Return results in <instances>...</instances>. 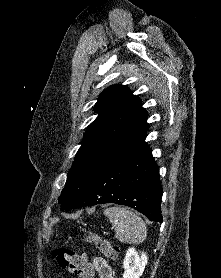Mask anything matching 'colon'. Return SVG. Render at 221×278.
Returning a JSON list of instances; mask_svg holds the SVG:
<instances>
[{
    "label": "colon",
    "instance_id": "obj_1",
    "mask_svg": "<svg viewBox=\"0 0 221 278\" xmlns=\"http://www.w3.org/2000/svg\"><path fill=\"white\" fill-rule=\"evenodd\" d=\"M83 239L86 243L99 249L107 257L116 259L118 256V247L110 242L103 240L98 234L93 232H85ZM53 257L57 264L72 274H76L81 278H92L90 268L85 261L83 255L73 249L67 247H57L53 252Z\"/></svg>",
    "mask_w": 221,
    "mask_h": 278
}]
</instances>
